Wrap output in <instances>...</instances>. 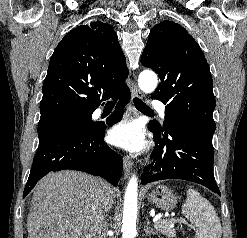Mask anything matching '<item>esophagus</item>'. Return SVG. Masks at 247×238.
<instances>
[{
    "instance_id": "obj_1",
    "label": "esophagus",
    "mask_w": 247,
    "mask_h": 238,
    "mask_svg": "<svg viewBox=\"0 0 247 238\" xmlns=\"http://www.w3.org/2000/svg\"><path fill=\"white\" fill-rule=\"evenodd\" d=\"M132 97H139L142 98L143 94L140 91V89L135 85L132 89ZM133 168V163L131 160L127 157H124L123 159V169H124V174L126 177H128L132 171Z\"/></svg>"
}]
</instances>
